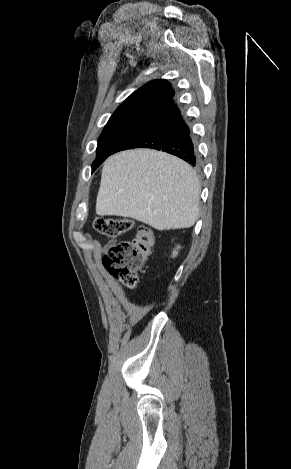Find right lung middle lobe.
Returning <instances> with one entry per match:
<instances>
[{"instance_id": "right-lung-middle-lobe-1", "label": "right lung middle lobe", "mask_w": 291, "mask_h": 469, "mask_svg": "<svg viewBox=\"0 0 291 469\" xmlns=\"http://www.w3.org/2000/svg\"><path fill=\"white\" fill-rule=\"evenodd\" d=\"M150 117H152V115L141 112L113 114L99 137L97 158L92 164V172L126 137L133 133Z\"/></svg>"}]
</instances>
